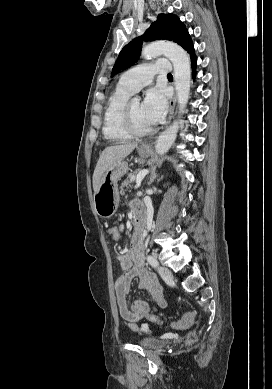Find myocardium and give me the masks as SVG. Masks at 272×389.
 Instances as JSON below:
<instances>
[{
  "label": "myocardium",
  "instance_id": "1",
  "mask_svg": "<svg viewBox=\"0 0 272 389\" xmlns=\"http://www.w3.org/2000/svg\"><path fill=\"white\" fill-rule=\"evenodd\" d=\"M132 102L133 100H128L122 112V124L124 129L133 137H144L150 135L154 131L152 126L141 130L135 125L132 114Z\"/></svg>",
  "mask_w": 272,
  "mask_h": 389
}]
</instances>
